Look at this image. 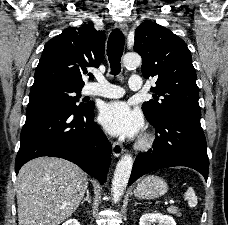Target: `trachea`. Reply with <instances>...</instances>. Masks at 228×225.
Wrapping results in <instances>:
<instances>
[{
  "mask_svg": "<svg viewBox=\"0 0 228 225\" xmlns=\"http://www.w3.org/2000/svg\"><path fill=\"white\" fill-rule=\"evenodd\" d=\"M124 42V35L118 28L110 33L107 42V56L113 75H118L121 71V57L124 50Z\"/></svg>",
  "mask_w": 228,
  "mask_h": 225,
  "instance_id": "obj_1",
  "label": "trachea"
}]
</instances>
